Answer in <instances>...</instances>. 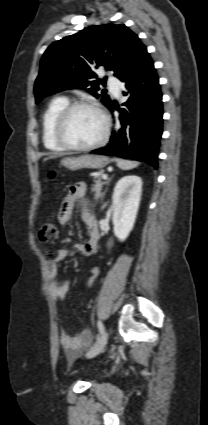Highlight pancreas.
<instances>
[{
  "label": "pancreas",
  "mask_w": 208,
  "mask_h": 425,
  "mask_svg": "<svg viewBox=\"0 0 208 425\" xmlns=\"http://www.w3.org/2000/svg\"><path fill=\"white\" fill-rule=\"evenodd\" d=\"M107 182H102L101 181V177L98 176L95 180H94V185L92 187V192L95 193L94 198L97 200L102 196V187L103 185H106Z\"/></svg>",
  "instance_id": "1"
}]
</instances>
